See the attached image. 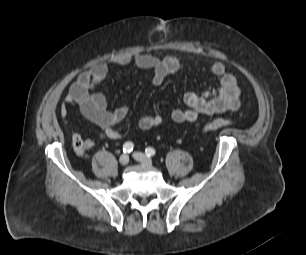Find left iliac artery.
<instances>
[{"instance_id": "1", "label": "left iliac artery", "mask_w": 306, "mask_h": 255, "mask_svg": "<svg viewBox=\"0 0 306 255\" xmlns=\"http://www.w3.org/2000/svg\"><path fill=\"white\" fill-rule=\"evenodd\" d=\"M145 153H146V155L148 156V157H151V156H154L155 155V149L154 148H152V147H147L146 149H145Z\"/></svg>"}]
</instances>
